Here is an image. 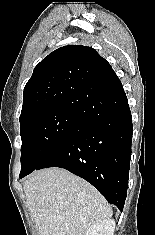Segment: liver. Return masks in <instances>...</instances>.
<instances>
[{"label":"liver","instance_id":"obj_1","mask_svg":"<svg viewBox=\"0 0 155 235\" xmlns=\"http://www.w3.org/2000/svg\"><path fill=\"white\" fill-rule=\"evenodd\" d=\"M23 187L39 235H84L112 216L111 206L92 185L61 168L34 172Z\"/></svg>","mask_w":155,"mask_h":235}]
</instances>
